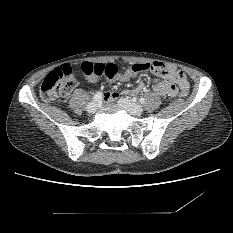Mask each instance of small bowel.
<instances>
[{"label":"small bowel","instance_id":"1","mask_svg":"<svg viewBox=\"0 0 233 233\" xmlns=\"http://www.w3.org/2000/svg\"><path fill=\"white\" fill-rule=\"evenodd\" d=\"M156 65L159 71L155 72L157 78L154 80L153 90L158 96L163 98L176 97L180 88L188 86L186 76L181 70H178L169 64L156 63ZM113 79L124 81L127 78L121 74H117ZM91 80L93 81L94 79ZM143 88L144 85L140 84L134 89L125 90L123 94L136 96L143 90ZM118 97L119 93L117 92H109L104 95L105 100L108 102H114Z\"/></svg>","mask_w":233,"mask_h":233}]
</instances>
